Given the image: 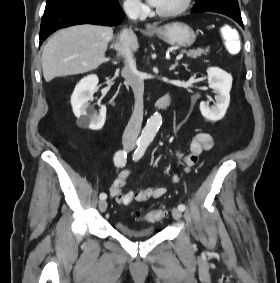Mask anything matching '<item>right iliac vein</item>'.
Masks as SVG:
<instances>
[{
	"label": "right iliac vein",
	"mask_w": 280,
	"mask_h": 283,
	"mask_svg": "<svg viewBox=\"0 0 280 283\" xmlns=\"http://www.w3.org/2000/svg\"><path fill=\"white\" fill-rule=\"evenodd\" d=\"M99 209L101 212H105L107 209V202L105 200L99 201Z\"/></svg>",
	"instance_id": "1"
}]
</instances>
